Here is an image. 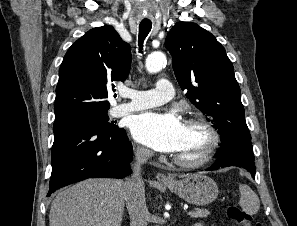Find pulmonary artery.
Listing matches in <instances>:
<instances>
[{
  "label": "pulmonary artery",
  "mask_w": 297,
  "mask_h": 226,
  "mask_svg": "<svg viewBox=\"0 0 297 226\" xmlns=\"http://www.w3.org/2000/svg\"><path fill=\"white\" fill-rule=\"evenodd\" d=\"M121 95L129 98L130 102L120 104L113 109L112 113L117 117L126 113L165 104L173 98L174 89L170 81L159 79L154 89L147 91L129 90L123 92Z\"/></svg>",
  "instance_id": "pulmonary-artery-1"
}]
</instances>
